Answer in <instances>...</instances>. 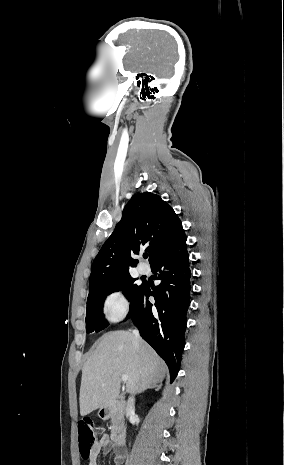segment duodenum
<instances>
[{"label":"duodenum","instance_id":"duodenum-1","mask_svg":"<svg viewBox=\"0 0 284 465\" xmlns=\"http://www.w3.org/2000/svg\"><path fill=\"white\" fill-rule=\"evenodd\" d=\"M126 407V400H115L110 404V406L100 410L101 418L111 417L115 420L111 430V439L116 445H121L125 441L126 430L124 423L122 422V416L125 414Z\"/></svg>","mask_w":284,"mask_h":465}]
</instances>
